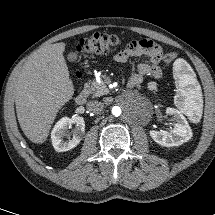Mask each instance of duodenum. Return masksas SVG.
<instances>
[{"instance_id":"410a0bca","label":"duodenum","mask_w":215,"mask_h":215,"mask_svg":"<svg viewBox=\"0 0 215 215\" xmlns=\"http://www.w3.org/2000/svg\"><path fill=\"white\" fill-rule=\"evenodd\" d=\"M87 98H88V92L86 89H83L79 92V94L77 95L76 97V103L78 105H83L86 103L87 101Z\"/></svg>"}]
</instances>
